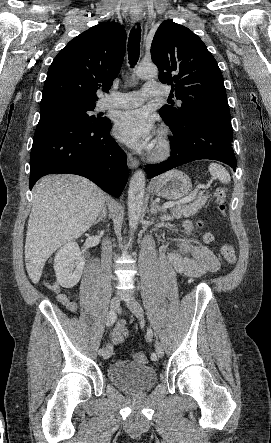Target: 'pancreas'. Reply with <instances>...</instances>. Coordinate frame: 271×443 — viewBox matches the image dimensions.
I'll use <instances>...</instances> for the list:
<instances>
[{"instance_id":"pancreas-1","label":"pancreas","mask_w":271,"mask_h":443,"mask_svg":"<svg viewBox=\"0 0 271 443\" xmlns=\"http://www.w3.org/2000/svg\"><path fill=\"white\" fill-rule=\"evenodd\" d=\"M207 198L208 196L200 194L193 204H177V206L171 208L172 218H182V216L189 218V216H195V214L205 206ZM164 212H166V208H164Z\"/></svg>"}]
</instances>
